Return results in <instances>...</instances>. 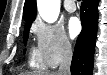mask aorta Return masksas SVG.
<instances>
[{"mask_svg":"<svg viewBox=\"0 0 107 75\" xmlns=\"http://www.w3.org/2000/svg\"><path fill=\"white\" fill-rule=\"evenodd\" d=\"M38 11L41 18L47 23H54L60 13V0H38Z\"/></svg>","mask_w":107,"mask_h":75,"instance_id":"obj_1","label":"aorta"}]
</instances>
